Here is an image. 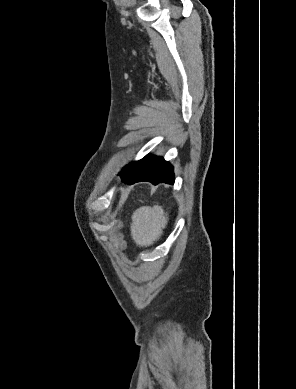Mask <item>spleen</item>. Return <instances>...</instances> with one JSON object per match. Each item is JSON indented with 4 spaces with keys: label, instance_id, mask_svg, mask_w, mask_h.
Wrapping results in <instances>:
<instances>
[{
    "label": "spleen",
    "instance_id": "3e777b00",
    "mask_svg": "<svg viewBox=\"0 0 296 389\" xmlns=\"http://www.w3.org/2000/svg\"><path fill=\"white\" fill-rule=\"evenodd\" d=\"M168 216L161 206H144L132 215L131 236L139 247H147L163 234Z\"/></svg>",
    "mask_w": 296,
    "mask_h": 389
}]
</instances>
